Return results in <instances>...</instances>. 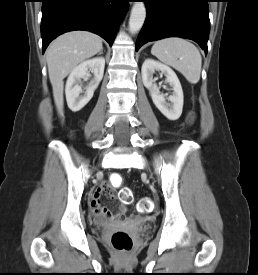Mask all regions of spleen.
Instances as JSON below:
<instances>
[{
    "instance_id": "1",
    "label": "spleen",
    "mask_w": 258,
    "mask_h": 275,
    "mask_svg": "<svg viewBox=\"0 0 258 275\" xmlns=\"http://www.w3.org/2000/svg\"><path fill=\"white\" fill-rule=\"evenodd\" d=\"M151 53L178 70L188 82L195 84L200 80L202 58L197 47L189 41L178 37L162 39L154 43Z\"/></svg>"
}]
</instances>
